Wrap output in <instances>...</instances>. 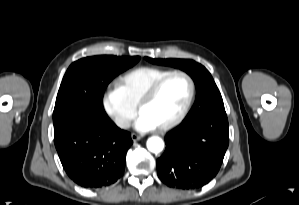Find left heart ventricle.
Instances as JSON below:
<instances>
[{
    "label": "left heart ventricle",
    "instance_id": "b2bd125f",
    "mask_svg": "<svg viewBox=\"0 0 299 205\" xmlns=\"http://www.w3.org/2000/svg\"><path fill=\"white\" fill-rule=\"evenodd\" d=\"M188 95V81L182 76H173L163 84L154 99L143 107L140 113L149 117L159 127L180 113Z\"/></svg>",
    "mask_w": 299,
    "mask_h": 205
}]
</instances>
